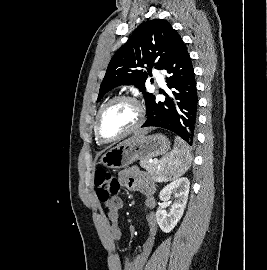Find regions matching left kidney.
<instances>
[{
  "label": "left kidney",
  "mask_w": 267,
  "mask_h": 270,
  "mask_svg": "<svg viewBox=\"0 0 267 270\" xmlns=\"http://www.w3.org/2000/svg\"><path fill=\"white\" fill-rule=\"evenodd\" d=\"M189 188V180L182 177L167 184L160 191L159 198L161 201L169 202L172 193L175 197L169 213H166L163 209H157L156 211V220L163 232H171L182 218L188 200Z\"/></svg>",
  "instance_id": "1"
}]
</instances>
